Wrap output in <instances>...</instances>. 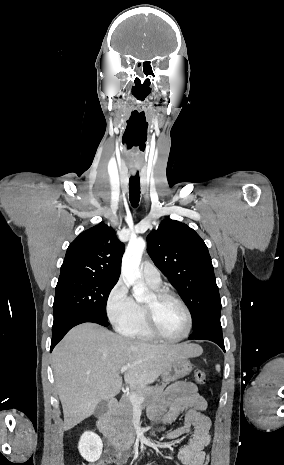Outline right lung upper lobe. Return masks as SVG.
Segmentation results:
<instances>
[{"instance_id": "cb5924a9", "label": "right lung upper lobe", "mask_w": 284, "mask_h": 465, "mask_svg": "<svg viewBox=\"0 0 284 465\" xmlns=\"http://www.w3.org/2000/svg\"><path fill=\"white\" fill-rule=\"evenodd\" d=\"M125 247L103 222L82 232L68 247L59 278L93 277L118 281Z\"/></svg>"}]
</instances>
